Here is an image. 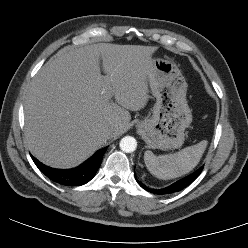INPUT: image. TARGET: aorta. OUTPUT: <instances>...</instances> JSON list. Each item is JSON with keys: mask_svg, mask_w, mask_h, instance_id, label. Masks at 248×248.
I'll return each instance as SVG.
<instances>
[{"mask_svg": "<svg viewBox=\"0 0 248 248\" xmlns=\"http://www.w3.org/2000/svg\"><path fill=\"white\" fill-rule=\"evenodd\" d=\"M120 149L125 153H132L136 150L137 141L134 137L125 136L120 141Z\"/></svg>", "mask_w": 248, "mask_h": 248, "instance_id": "obj_1", "label": "aorta"}]
</instances>
